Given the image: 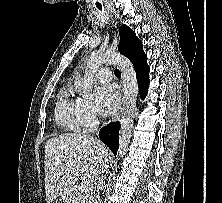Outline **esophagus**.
<instances>
[{
  "label": "esophagus",
  "instance_id": "esophagus-1",
  "mask_svg": "<svg viewBox=\"0 0 222 203\" xmlns=\"http://www.w3.org/2000/svg\"><path fill=\"white\" fill-rule=\"evenodd\" d=\"M122 113H123V102H121V105H120L117 113L113 116L112 120L113 121L119 120L122 116Z\"/></svg>",
  "mask_w": 222,
  "mask_h": 203
}]
</instances>
